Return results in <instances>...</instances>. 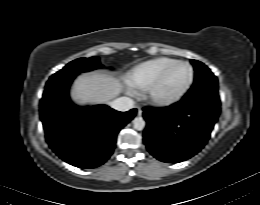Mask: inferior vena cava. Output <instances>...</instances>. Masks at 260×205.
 I'll list each match as a JSON object with an SVG mask.
<instances>
[{
  "label": "inferior vena cava",
  "mask_w": 260,
  "mask_h": 205,
  "mask_svg": "<svg viewBox=\"0 0 260 205\" xmlns=\"http://www.w3.org/2000/svg\"><path fill=\"white\" fill-rule=\"evenodd\" d=\"M110 106L118 111H128L134 107V101L129 97H119L112 101Z\"/></svg>",
  "instance_id": "inferior-vena-cava-1"
}]
</instances>
